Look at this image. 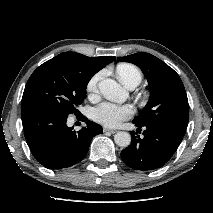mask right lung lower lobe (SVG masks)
<instances>
[{
	"mask_svg": "<svg viewBox=\"0 0 213 213\" xmlns=\"http://www.w3.org/2000/svg\"><path fill=\"white\" fill-rule=\"evenodd\" d=\"M21 114L32 154L49 169H62L80 162L92 138L103 132L102 127L92 121L86 122L87 127L73 131V127L66 125L68 116L36 102L23 103Z\"/></svg>",
	"mask_w": 213,
	"mask_h": 213,
	"instance_id": "right-lung-lower-lobe-1",
	"label": "right lung lower lobe"
}]
</instances>
